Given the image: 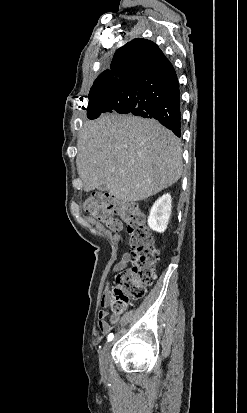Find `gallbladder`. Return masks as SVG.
Listing matches in <instances>:
<instances>
[{"label": "gallbladder", "mask_w": 247, "mask_h": 413, "mask_svg": "<svg viewBox=\"0 0 247 413\" xmlns=\"http://www.w3.org/2000/svg\"><path fill=\"white\" fill-rule=\"evenodd\" d=\"M100 192H102V190H105V186H101V188H99Z\"/></svg>", "instance_id": "bac80fb5"}]
</instances>
